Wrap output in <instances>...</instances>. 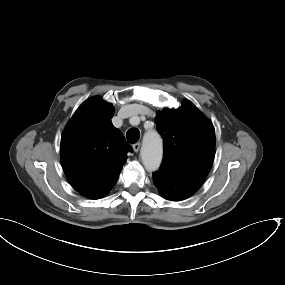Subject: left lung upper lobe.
Returning <instances> with one entry per match:
<instances>
[{
    "instance_id": "5c2ea615",
    "label": "left lung upper lobe",
    "mask_w": 285,
    "mask_h": 285,
    "mask_svg": "<svg viewBox=\"0 0 285 285\" xmlns=\"http://www.w3.org/2000/svg\"><path fill=\"white\" fill-rule=\"evenodd\" d=\"M155 122L164 144L160 171L202 184L215 156V131L210 121L185 100L179 109H163Z\"/></svg>"
}]
</instances>
